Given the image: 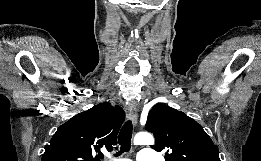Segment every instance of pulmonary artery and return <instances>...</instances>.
I'll use <instances>...</instances> for the list:
<instances>
[{
	"label": "pulmonary artery",
	"mask_w": 261,
	"mask_h": 161,
	"mask_svg": "<svg viewBox=\"0 0 261 161\" xmlns=\"http://www.w3.org/2000/svg\"><path fill=\"white\" fill-rule=\"evenodd\" d=\"M149 149H142L137 155V161H154L153 158L149 156ZM116 161H128V160H116Z\"/></svg>",
	"instance_id": "e3ab8cb5"
}]
</instances>
